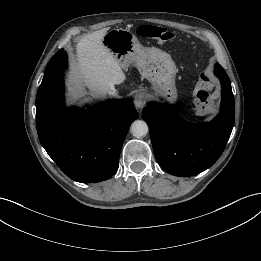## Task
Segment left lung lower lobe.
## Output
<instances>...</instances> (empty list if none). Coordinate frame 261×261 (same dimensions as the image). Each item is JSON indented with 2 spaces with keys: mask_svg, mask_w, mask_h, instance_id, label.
I'll return each instance as SVG.
<instances>
[{
  "mask_svg": "<svg viewBox=\"0 0 261 261\" xmlns=\"http://www.w3.org/2000/svg\"><path fill=\"white\" fill-rule=\"evenodd\" d=\"M222 84L219 114L210 122L191 124L170 107L150 102L142 118L150 131L154 155L160 167L175 176H194L211 167L220 157L234 125L235 103L225 70L215 64Z\"/></svg>",
  "mask_w": 261,
  "mask_h": 261,
  "instance_id": "obj_1",
  "label": "left lung lower lobe"
}]
</instances>
